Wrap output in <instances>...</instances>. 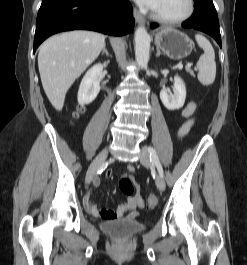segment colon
Masks as SVG:
<instances>
[{"label": "colon", "mask_w": 247, "mask_h": 265, "mask_svg": "<svg viewBox=\"0 0 247 265\" xmlns=\"http://www.w3.org/2000/svg\"><path fill=\"white\" fill-rule=\"evenodd\" d=\"M83 109H79V112H81ZM119 187L122 190L124 194H126L129 197H132L136 194L138 190V186L136 182L132 178L124 177L119 182ZM158 203V199L155 195H150L146 200V207L148 209H153L156 207Z\"/></svg>", "instance_id": "colon-1"}]
</instances>
